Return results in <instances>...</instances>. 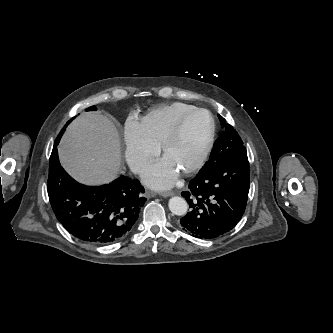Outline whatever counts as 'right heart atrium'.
<instances>
[{"label":"right heart atrium","instance_id":"d8ad5b80","mask_svg":"<svg viewBox=\"0 0 333 333\" xmlns=\"http://www.w3.org/2000/svg\"><path fill=\"white\" fill-rule=\"evenodd\" d=\"M124 156L130 169L139 173L157 156L159 147L147 136L141 122L128 117L124 123Z\"/></svg>","mask_w":333,"mask_h":333}]
</instances>
